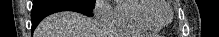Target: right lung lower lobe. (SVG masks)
Masks as SVG:
<instances>
[{
    "mask_svg": "<svg viewBox=\"0 0 219 37\" xmlns=\"http://www.w3.org/2000/svg\"><path fill=\"white\" fill-rule=\"evenodd\" d=\"M59 11H75L87 16H92V10L83 7L72 1H50L32 8V28L33 32L40 21L46 16Z\"/></svg>",
    "mask_w": 219,
    "mask_h": 37,
    "instance_id": "1",
    "label": "right lung lower lobe"
}]
</instances>
